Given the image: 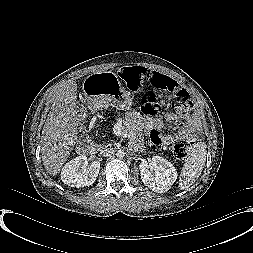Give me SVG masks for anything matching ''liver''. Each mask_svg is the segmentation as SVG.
<instances>
[{
    "instance_id": "liver-1",
    "label": "liver",
    "mask_w": 253,
    "mask_h": 253,
    "mask_svg": "<svg viewBox=\"0 0 253 253\" xmlns=\"http://www.w3.org/2000/svg\"><path fill=\"white\" fill-rule=\"evenodd\" d=\"M77 84L61 86L55 93L41 136V154L47 173L56 175L78 139L79 118L76 110Z\"/></svg>"
}]
</instances>
